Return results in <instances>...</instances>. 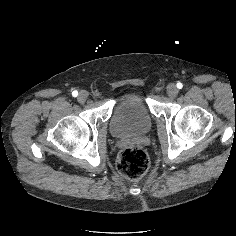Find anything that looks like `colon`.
Returning <instances> with one entry per match:
<instances>
[{"mask_svg": "<svg viewBox=\"0 0 236 236\" xmlns=\"http://www.w3.org/2000/svg\"><path fill=\"white\" fill-rule=\"evenodd\" d=\"M116 168L127 179H139L148 171V155L139 148H126L119 154Z\"/></svg>", "mask_w": 236, "mask_h": 236, "instance_id": "1", "label": "colon"}]
</instances>
